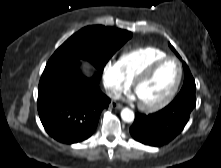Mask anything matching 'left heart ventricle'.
Here are the masks:
<instances>
[{
	"label": "left heart ventricle",
	"instance_id": "left-heart-ventricle-1",
	"mask_svg": "<svg viewBox=\"0 0 221 168\" xmlns=\"http://www.w3.org/2000/svg\"><path fill=\"white\" fill-rule=\"evenodd\" d=\"M178 77V65L168 61L160 65L154 73L135 90L140 103L153 104L163 99L173 88Z\"/></svg>",
	"mask_w": 221,
	"mask_h": 168
}]
</instances>
